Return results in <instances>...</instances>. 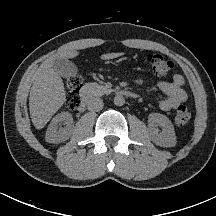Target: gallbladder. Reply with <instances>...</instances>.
<instances>
[{
  "label": "gallbladder",
  "instance_id": "obj_1",
  "mask_svg": "<svg viewBox=\"0 0 216 216\" xmlns=\"http://www.w3.org/2000/svg\"><path fill=\"white\" fill-rule=\"evenodd\" d=\"M53 69L63 78L75 76L78 72L77 66L73 62L62 58L55 59Z\"/></svg>",
  "mask_w": 216,
  "mask_h": 216
}]
</instances>
